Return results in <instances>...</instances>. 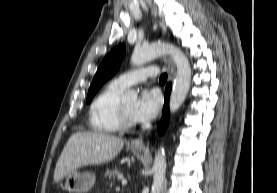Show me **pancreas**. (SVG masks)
Instances as JSON below:
<instances>
[{"mask_svg":"<svg viewBox=\"0 0 277 193\" xmlns=\"http://www.w3.org/2000/svg\"><path fill=\"white\" fill-rule=\"evenodd\" d=\"M104 176L114 182L116 178H120L122 176V172L120 168L115 167L114 169H107Z\"/></svg>","mask_w":277,"mask_h":193,"instance_id":"obj_1","label":"pancreas"}]
</instances>
